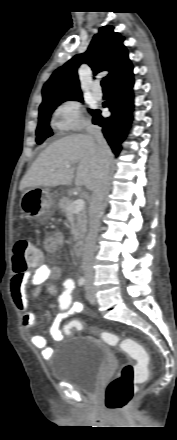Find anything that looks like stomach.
<instances>
[{"label":"stomach","mask_w":177,"mask_h":440,"mask_svg":"<svg viewBox=\"0 0 177 440\" xmlns=\"http://www.w3.org/2000/svg\"><path fill=\"white\" fill-rule=\"evenodd\" d=\"M55 203L48 188L35 187L24 191L20 199L21 212L31 219L45 221L55 212Z\"/></svg>","instance_id":"obj_1"}]
</instances>
